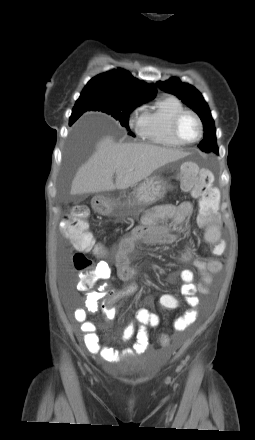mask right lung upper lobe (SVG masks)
I'll list each match as a JSON object with an SVG mask.
<instances>
[{"instance_id":"cb5924a9","label":"right lung upper lobe","mask_w":255,"mask_h":440,"mask_svg":"<svg viewBox=\"0 0 255 440\" xmlns=\"http://www.w3.org/2000/svg\"><path fill=\"white\" fill-rule=\"evenodd\" d=\"M156 86L134 78L128 71L118 69L108 71L92 78L81 95H89L118 102H145L156 95ZM75 122L71 115L70 124Z\"/></svg>"}]
</instances>
